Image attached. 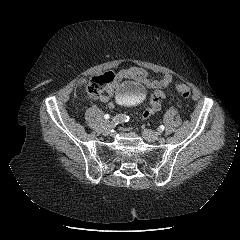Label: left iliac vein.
Instances as JSON below:
<instances>
[{"label": "left iliac vein", "instance_id": "4c4485c4", "mask_svg": "<svg viewBox=\"0 0 240 240\" xmlns=\"http://www.w3.org/2000/svg\"><path fill=\"white\" fill-rule=\"evenodd\" d=\"M142 135H143L144 139L148 142H155L160 139L158 137V134L150 129H144L142 131Z\"/></svg>", "mask_w": 240, "mask_h": 240}]
</instances>
